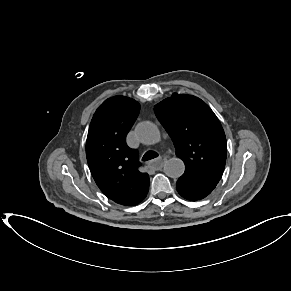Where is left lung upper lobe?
I'll use <instances>...</instances> for the list:
<instances>
[{"instance_id":"left-lung-upper-lobe-1","label":"left lung upper lobe","mask_w":291,"mask_h":291,"mask_svg":"<svg viewBox=\"0 0 291 291\" xmlns=\"http://www.w3.org/2000/svg\"><path fill=\"white\" fill-rule=\"evenodd\" d=\"M154 110L185 164L177 191L205 198L220 181L227 156L226 137L218 118L204 101L186 94L174 93Z\"/></svg>"}]
</instances>
